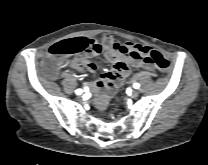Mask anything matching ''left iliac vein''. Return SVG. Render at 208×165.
Returning a JSON list of instances; mask_svg holds the SVG:
<instances>
[{
	"mask_svg": "<svg viewBox=\"0 0 208 165\" xmlns=\"http://www.w3.org/2000/svg\"><path fill=\"white\" fill-rule=\"evenodd\" d=\"M132 98H137L139 96V91L137 90H134L131 95H130Z\"/></svg>",
	"mask_w": 208,
	"mask_h": 165,
	"instance_id": "left-iliac-vein-1",
	"label": "left iliac vein"
}]
</instances>
